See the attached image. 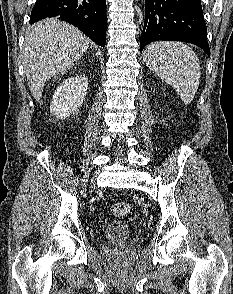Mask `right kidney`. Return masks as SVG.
Segmentation results:
<instances>
[{"instance_id":"ca27d5eb","label":"right kidney","mask_w":233,"mask_h":294,"mask_svg":"<svg viewBox=\"0 0 233 294\" xmlns=\"http://www.w3.org/2000/svg\"><path fill=\"white\" fill-rule=\"evenodd\" d=\"M88 89V78L72 76L57 88L50 103V112L58 119H65L78 111Z\"/></svg>"}]
</instances>
